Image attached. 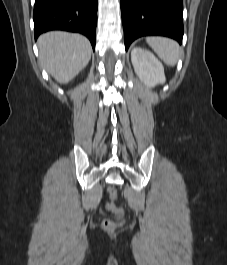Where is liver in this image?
Masks as SVG:
<instances>
[{
    "instance_id": "6515ba94",
    "label": "liver",
    "mask_w": 227,
    "mask_h": 265,
    "mask_svg": "<svg viewBox=\"0 0 227 265\" xmlns=\"http://www.w3.org/2000/svg\"><path fill=\"white\" fill-rule=\"evenodd\" d=\"M40 61L60 84H67L91 59V44L80 34L51 31L38 39Z\"/></svg>"
}]
</instances>
